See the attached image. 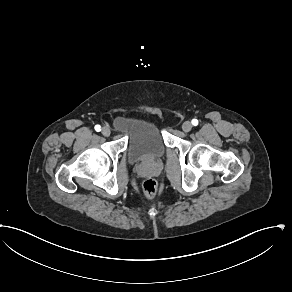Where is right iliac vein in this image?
<instances>
[{"label":"right iliac vein","instance_id":"1","mask_svg":"<svg viewBox=\"0 0 292 292\" xmlns=\"http://www.w3.org/2000/svg\"><path fill=\"white\" fill-rule=\"evenodd\" d=\"M101 133H102V135L108 137L110 135V133H111V130H110L109 127H103L102 130H101Z\"/></svg>","mask_w":292,"mask_h":292}]
</instances>
